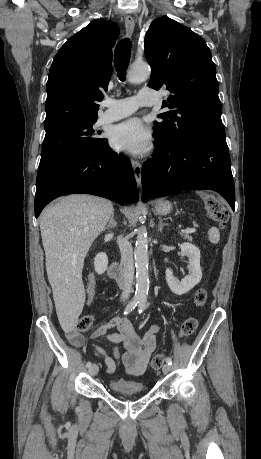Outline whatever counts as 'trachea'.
I'll return each mask as SVG.
<instances>
[{"label":"trachea","instance_id":"obj_1","mask_svg":"<svg viewBox=\"0 0 261 459\" xmlns=\"http://www.w3.org/2000/svg\"><path fill=\"white\" fill-rule=\"evenodd\" d=\"M132 42L128 39H122L118 42L114 51V65L121 81L126 79V70L131 57Z\"/></svg>","mask_w":261,"mask_h":459}]
</instances>
